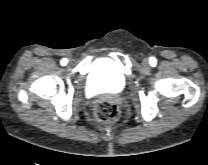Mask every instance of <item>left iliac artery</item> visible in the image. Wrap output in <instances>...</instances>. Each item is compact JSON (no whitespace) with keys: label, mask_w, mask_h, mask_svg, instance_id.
<instances>
[{"label":"left iliac artery","mask_w":208,"mask_h":165,"mask_svg":"<svg viewBox=\"0 0 208 165\" xmlns=\"http://www.w3.org/2000/svg\"><path fill=\"white\" fill-rule=\"evenodd\" d=\"M150 62H151L152 64H154V63L156 62V59H155L154 57H151Z\"/></svg>","instance_id":"left-iliac-artery-1"}]
</instances>
